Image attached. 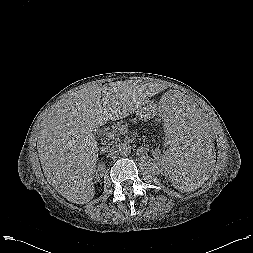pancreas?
<instances>
[{"label": "pancreas", "instance_id": "pancreas-1", "mask_svg": "<svg viewBox=\"0 0 253 253\" xmlns=\"http://www.w3.org/2000/svg\"><path fill=\"white\" fill-rule=\"evenodd\" d=\"M125 131L121 126H113L112 129L106 128L102 132L109 140L110 139H118L120 135L124 134Z\"/></svg>", "mask_w": 253, "mask_h": 253}]
</instances>
